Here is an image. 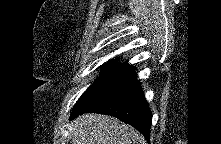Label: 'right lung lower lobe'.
Here are the masks:
<instances>
[{
	"mask_svg": "<svg viewBox=\"0 0 221 144\" xmlns=\"http://www.w3.org/2000/svg\"><path fill=\"white\" fill-rule=\"evenodd\" d=\"M136 77L135 72H133L90 106L82 111L73 113L71 119L90 112L114 116L138 129L149 141L152 113Z\"/></svg>",
	"mask_w": 221,
	"mask_h": 144,
	"instance_id": "98d812e1",
	"label": "right lung lower lobe"
}]
</instances>
